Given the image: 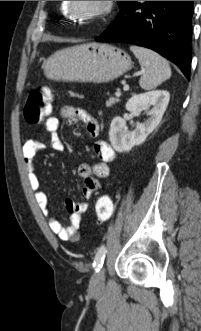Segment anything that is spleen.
I'll list each match as a JSON object with an SVG mask.
<instances>
[{
    "label": "spleen",
    "instance_id": "1",
    "mask_svg": "<svg viewBox=\"0 0 201 331\" xmlns=\"http://www.w3.org/2000/svg\"><path fill=\"white\" fill-rule=\"evenodd\" d=\"M134 53L143 68V74L139 85L144 90L156 88L171 76V68L168 61L157 52L137 45H131Z\"/></svg>",
    "mask_w": 201,
    "mask_h": 331
}]
</instances>
